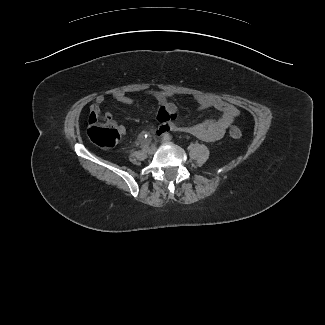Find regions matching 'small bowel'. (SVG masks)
Segmentation results:
<instances>
[{"instance_id": "small-bowel-1", "label": "small bowel", "mask_w": 325, "mask_h": 325, "mask_svg": "<svg viewBox=\"0 0 325 325\" xmlns=\"http://www.w3.org/2000/svg\"><path fill=\"white\" fill-rule=\"evenodd\" d=\"M150 95L157 101L159 110L157 114L158 120L162 123L159 131H174L185 132L194 135L204 141H216L223 137L226 130L231 126L239 114L238 109L219 98L197 94L193 99L198 103L200 109L214 108L221 113V116L216 120H206L198 124L183 125L176 120L177 106L171 101L178 94L171 91H151ZM111 97L123 104L133 105L134 99L126 95L124 92L116 91L111 94ZM107 99L106 95L97 96L95 103L91 107V112L100 113V107ZM111 118L110 112H105L103 115ZM121 135L126 133L123 126H119Z\"/></svg>"}]
</instances>
